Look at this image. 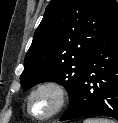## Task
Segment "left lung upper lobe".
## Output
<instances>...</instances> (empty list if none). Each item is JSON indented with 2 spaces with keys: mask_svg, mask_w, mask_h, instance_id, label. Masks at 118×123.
I'll use <instances>...</instances> for the list:
<instances>
[{
  "mask_svg": "<svg viewBox=\"0 0 118 123\" xmlns=\"http://www.w3.org/2000/svg\"><path fill=\"white\" fill-rule=\"evenodd\" d=\"M117 19L115 0H52L25 56L21 86L57 82L71 102L94 46Z\"/></svg>",
  "mask_w": 118,
  "mask_h": 123,
  "instance_id": "5c2ea615",
  "label": "left lung upper lobe"
}]
</instances>
